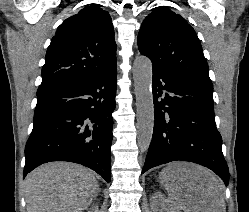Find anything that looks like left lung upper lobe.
Returning a JSON list of instances; mask_svg holds the SVG:
<instances>
[{"label": "left lung upper lobe", "mask_w": 249, "mask_h": 212, "mask_svg": "<svg viewBox=\"0 0 249 212\" xmlns=\"http://www.w3.org/2000/svg\"><path fill=\"white\" fill-rule=\"evenodd\" d=\"M137 40L139 51L153 66L212 86L197 34L179 14L165 7L152 9Z\"/></svg>", "instance_id": "5c2ea615"}]
</instances>
